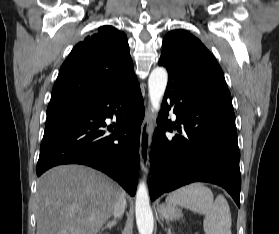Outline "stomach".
<instances>
[{
    "label": "stomach",
    "mask_w": 279,
    "mask_h": 234,
    "mask_svg": "<svg viewBox=\"0 0 279 234\" xmlns=\"http://www.w3.org/2000/svg\"><path fill=\"white\" fill-rule=\"evenodd\" d=\"M159 214L162 218L166 220H177L182 216L181 210L172 203H166L164 205L159 206L158 208Z\"/></svg>",
    "instance_id": "stomach-1"
}]
</instances>
